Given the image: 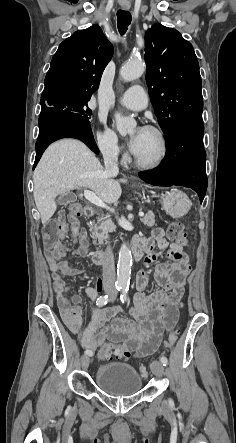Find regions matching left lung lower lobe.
<instances>
[{
	"label": "left lung lower lobe",
	"mask_w": 236,
	"mask_h": 443,
	"mask_svg": "<svg viewBox=\"0 0 236 443\" xmlns=\"http://www.w3.org/2000/svg\"><path fill=\"white\" fill-rule=\"evenodd\" d=\"M204 125L202 119H186L170 131L167 153L162 165L138 175L145 182L157 186H184L197 192L202 203L206 189V153L203 147Z\"/></svg>",
	"instance_id": "obj_1"
}]
</instances>
